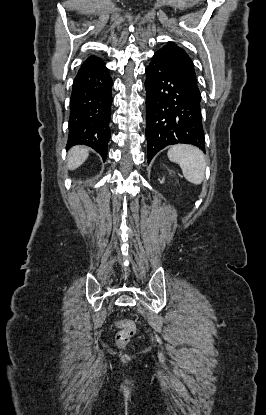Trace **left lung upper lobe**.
<instances>
[{
    "label": "left lung upper lobe",
    "mask_w": 266,
    "mask_h": 415,
    "mask_svg": "<svg viewBox=\"0 0 266 415\" xmlns=\"http://www.w3.org/2000/svg\"><path fill=\"white\" fill-rule=\"evenodd\" d=\"M156 53L160 54L172 67H174L185 79L188 85L200 95L197 87L194 64L183 48L173 42H168Z\"/></svg>",
    "instance_id": "1"
}]
</instances>
